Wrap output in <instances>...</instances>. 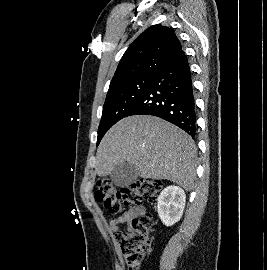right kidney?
<instances>
[{"mask_svg":"<svg viewBox=\"0 0 267 270\" xmlns=\"http://www.w3.org/2000/svg\"><path fill=\"white\" fill-rule=\"evenodd\" d=\"M157 204L158 215L166 226L178 222L183 214L186 195L178 186H168L160 193Z\"/></svg>","mask_w":267,"mask_h":270,"instance_id":"1","label":"right kidney"}]
</instances>
